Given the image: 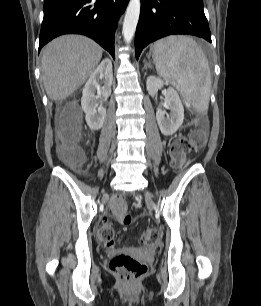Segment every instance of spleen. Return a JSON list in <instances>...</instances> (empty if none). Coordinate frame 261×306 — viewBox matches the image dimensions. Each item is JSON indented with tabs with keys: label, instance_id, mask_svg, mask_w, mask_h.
<instances>
[{
	"label": "spleen",
	"instance_id": "obj_1",
	"mask_svg": "<svg viewBox=\"0 0 261 306\" xmlns=\"http://www.w3.org/2000/svg\"><path fill=\"white\" fill-rule=\"evenodd\" d=\"M158 74L173 85L195 110H208L211 93V72L208 60L190 37L169 36L151 47Z\"/></svg>",
	"mask_w": 261,
	"mask_h": 306
}]
</instances>
